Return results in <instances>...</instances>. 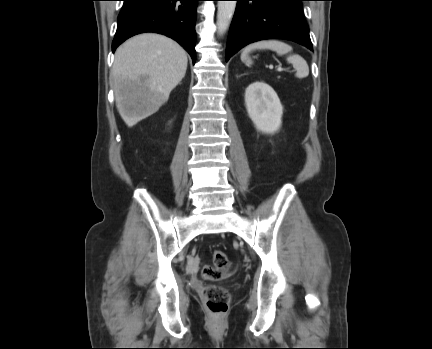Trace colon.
<instances>
[{"instance_id": "5ec220e1", "label": "colon", "mask_w": 432, "mask_h": 349, "mask_svg": "<svg viewBox=\"0 0 432 349\" xmlns=\"http://www.w3.org/2000/svg\"><path fill=\"white\" fill-rule=\"evenodd\" d=\"M212 260L216 269L227 270L230 268V262L226 254L220 250L213 252ZM205 297L208 308L214 315H222L227 311L230 297L226 291L215 287H208L205 290Z\"/></svg>"}]
</instances>
